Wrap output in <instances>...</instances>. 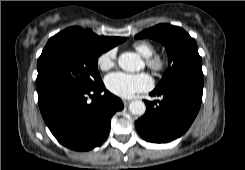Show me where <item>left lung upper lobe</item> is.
Returning <instances> with one entry per match:
<instances>
[{
  "label": "left lung upper lobe",
  "instance_id": "left-lung-upper-lobe-1",
  "mask_svg": "<svg viewBox=\"0 0 245 170\" xmlns=\"http://www.w3.org/2000/svg\"><path fill=\"white\" fill-rule=\"evenodd\" d=\"M160 41L166 48L169 67L155 90L176 83H192L203 86L202 58L195 40L182 28L159 24L137 34L135 38Z\"/></svg>",
  "mask_w": 245,
  "mask_h": 170
}]
</instances>
